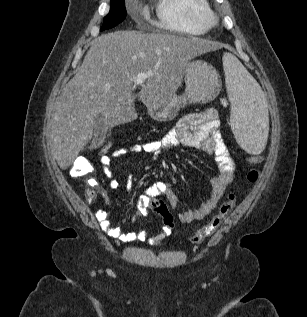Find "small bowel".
Masks as SVG:
<instances>
[{"label":"small bowel","mask_w":307,"mask_h":317,"mask_svg":"<svg viewBox=\"0 0 307 317\" xmlns=\"http://www.w3.org/2000/svg\"><path fill=\"white\" fill-rule=\"evenodd\" d=\"M181 145L201 148L206 153L213 155L219 169V173L210 180L211 189L203 203L195 209L179 213V219L182 223H191L195 220L205 218L221 200L227 186L232 183L235 172L234 161L221 135L218 112L214 108L184 115L177 121L175 127L159 141L134 143L122 147L110 155L101 156L100 164L103 174L111 179L109 189L115 190L121 186L120 181L114 178L113 172L110 169L114 159L127 155L150 154L156 160ZM124 188L126 192H131L132 184L129 180L124 184ZM100 193L105 203L109 204L110 193L104 189H101ZM159 195H165L173 208L179 207V200L170 188V185L159 181L144 191L140 197L138 211L134 214V217L147 216L151 199ZM95 218L105 233L122 242L140 240L156 245L171 233V229L165 226L161 228L158 235L153 237H150L147 231L124 232L119 227L112 225L108 213L104 209H97Z\"/></svg>","instance_id":"obj_1"}]
</instances>
